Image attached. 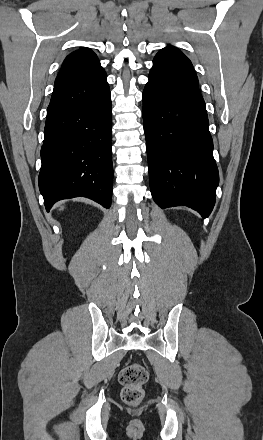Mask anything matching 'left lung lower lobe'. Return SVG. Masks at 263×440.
I'll return each mask as SVG.
<instances>
[{
	"mask_svg": "<svg viewBox=\"0 0 263 440\" xmlns=\"http://www.w3.org/2000/svg\"><path fill=\"white\" fill-rule=\"evenodd\" d=\"M148 78L142 114L152 197L161 208L186 205L208 217L219 174L192 63L168 46L155 56Z\"/></svg>",
	"mask_w": 263,
	"mask_h": 440,
	"instance_id": "obj_1",
	"label": "left lung lower lobe"
}]
</instances>
